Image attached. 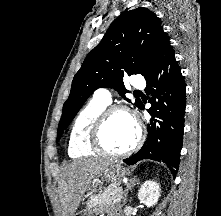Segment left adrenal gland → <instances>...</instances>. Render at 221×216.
I'll return each mask as SVG.
<instances>
[{"mask_svg": "<svg viewBox=\"0 0 221 216\" xmlns=\"http://www.w3.org/2000/svg\"><path fill=\"white\" fill-rule=\"evenodd\" d=\"M138 184H139V181L136 177H133L132 179H130V182L127 184V187H126L127 189L124 191L123 205L127 203V196H128L129 190H131L134 186Z\"/></svg>", "mask_w": 221, "mask_h": 216, "instance_id": "a2214340", "label": "left adrenal gland"}]
</instances>
